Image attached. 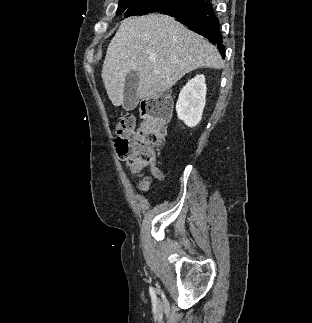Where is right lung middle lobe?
Segmentation results:
<instances>
[{"label":"right lung middle lobe","instance_id":"right-lung-middle-lobe-1","mask_svg":"<svg viewBox=\"0 0 312 323\" xmlns=\"http://www.w3.org/2000/svg\"><path fill=\"white\" fill-rule=\"evenodd\" d=\"M190 0H120L117 15L125 18L152 12H166L177 9Z\"/></svg>","mask_w":312,"mask_h":323}]
</instances>
